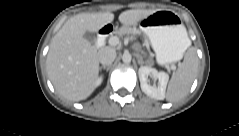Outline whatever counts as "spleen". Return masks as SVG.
Segmentation results:
<instances>
[{
    "label": "spleen",
    "instance_id": "obj_1",
    "mask_svg": "<svg viewBox=\"0 0 239 136\" xmlns=\"http://www.w3.org/2000/svg\"><path fill=\"white\" fill-rule=\"evenodd\" d=\"M188 46L191 41L187 38ZM198 58L193 50L189 51L182 65L174 73L169 82L166 99L170 102L179 101L184 98L196 77Z\"/></svg>",
    "mask_w": 239,
    "mask_h": 136
}]
</instances>
